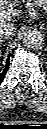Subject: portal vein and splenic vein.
Segmentation results:
<instances>
[{
	"mask_svg": "<svg viewBox=\"0 0 47 129\" xmlns=\"http://www.w3.org/2000/svg\"><path fill=\"white\" fill-rule=\"evenodd\" d=\"M8 14L9 13H6L5 11H3V12L0 13V15H1L2 18H8L9 17ZM11 14L15 16V15H17V12L13 10V11H11Z\"/></svg>",
	"mask_w": 47,
	"mask_h": 129,
	"instance_id": "18ae733b",
	"label": "portal vein and splenic vein"
}]
</instances>
